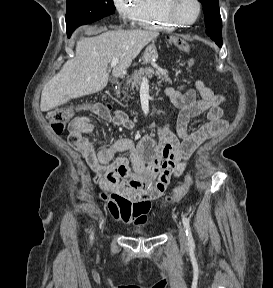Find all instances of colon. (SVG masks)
<instances>
[{
  "mask_svg": "<svg viewBox=\"0 0 273 288\" xmlns=\"http://www.w3.org/2000/svg\"><path fill=\"white\" fill-rule=\"evenodd\" d=\"M176 46L180 51L184 53H188L190 50L189 45L183 40H177ZM73 115V108L63 107L50 111L47 115V119L53 131L56 133H61L64 130L66 124L72 119ZM192 185V177L187 176L184 182L177 186L173 193L166 198V203L172 205L181 201L182 198H184L189 193Z\"/></svg>",
  "mask_w": 273,
  "mask_h": 288,
  "instance_id": "1",
  "label": "colon"
}]
</instances>
